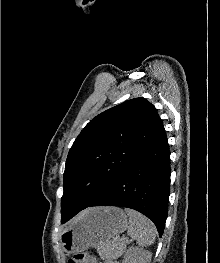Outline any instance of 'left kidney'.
Here are the masks:
<instances>
[{
    "mask_svg": "<svg viewBox=\"0 0 220 263\" xmlns=\"http://www.w3.org/2000/svg\"><path fill=\"white\" fill-rule=\"evenodd\" d=\"M152 254L139 248H130L122 263H150Z\"/></svg>",
    "mask_w": 220,
    "mask_h": 263,
    "instance_id": "obj_1",
    "label": "left kidney"
}]
</instances>
